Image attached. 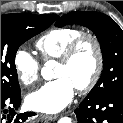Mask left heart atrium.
Wrapping results in <instances>:
<instances>
[{"instance_id": "left-heart-atrium-1", "label": "left heart atrium", "mask_w": 123, "mask_h": 123, "mask_svg": "<svg viewBox=\"0 0 123 123\" xmlns=\"http://www.w3.org/2000/svg\"><path fill=\"white\" fill-rule=\"evenodd\" d=\"M74 89V85L68 78L59 77L30 93L26 103L33 110L56 113L72 101Z\"/></svg>"}]
</instances>
